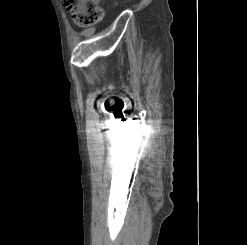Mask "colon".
I'll use <instances>...</instances> for the list:
<instances>
[{
    "label": "colon",
    "instance_id": "obj_1",
    "mask_svg": "<svg viewBox=\"0 0 247 245\" xmlns=\"http://www.w3.org/2000/svg\"><path fill=\"white\" fill-rule=\"evenodd\" d=\"M100 0H63L72 18L79 26H91L99 23L103 18Z\"/></svg>",
    "mask_w": 247,
    "mask_h": 245
}]
</instances>
